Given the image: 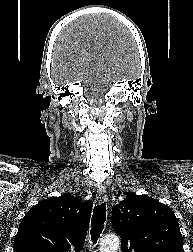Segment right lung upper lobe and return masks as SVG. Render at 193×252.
Here are the masks:
<instances>
[{
  "mask_svg": "<svg viewBox=\"0 0 193 252\" xmlns=\"http://www.w3.org/2000/svg\"><path fill=\"white\" fill-rule=\"evenodd\" d=\"M63 194L40 201L21 221L14 252H79L84 245L93 202Z\"/></svg>",
  "mask_w": 193,
  "mask_h": 252,
  "instance_id": "obj_1",
  "label": "right lung upper lobe"
}]
</instances>
